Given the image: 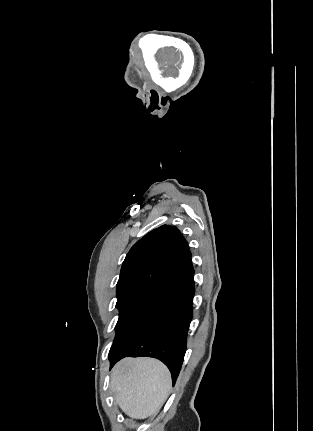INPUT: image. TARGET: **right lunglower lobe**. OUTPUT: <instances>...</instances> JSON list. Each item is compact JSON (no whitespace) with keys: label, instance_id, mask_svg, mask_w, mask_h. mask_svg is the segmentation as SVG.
Wrapping results in <instances>:
<instances>
[{"label":"right lung lower lobe","instance_id":"obj_1","mask_svg":"<svg viewBox=\"0 0 313 431\" xmlns=\"http://www.w3.org/2000/svg\"><path fill=\"white\" fill-rule=\"evenodd\" d=\"M193 276L190 258L145 299L115 337L109 352L110 368L127 356L154 357L169 368L175 384L192 320Z\"/></svg>","mask_w":313,"mask_h":431}]
</instances>
